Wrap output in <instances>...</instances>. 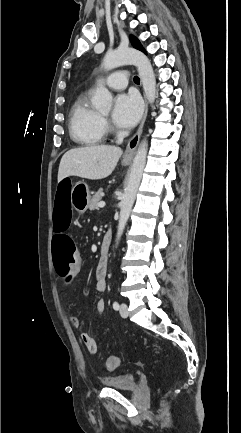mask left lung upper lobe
<instances>
[{
  "instance_id": "5c2ea615",
  "label": "left lung upper lobe",
  "mask_w": 241,
  "mask_h": 433,
  "mask_svg": "<svg viewBox=\"0 0 241 433\" xmlns=\"http://www.w3.org/2000/svg\"><path fill=\"white\" fill-rule=\"evenodd\" d=\"M130 40H131V43H132V45H133L134 48H136V49H138V50H140V51H142V52H144L146 54L145 49L143 48V46L141 45L140 41L136 37H134V36L131 35L130 36Z\"/></svg>"
}]
</instances>
